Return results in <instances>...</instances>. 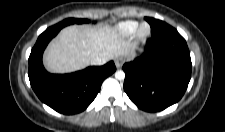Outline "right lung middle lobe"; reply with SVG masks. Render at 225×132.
I'll list each match as a JSON object with an SVG mask.
<instances>
[{
	"instance_id": "dd1d6c3e",
	"label": "right lung middle lobe",
	"mask_w": 225,
	"mask_h": 132,
	"mask_svg": "<svg viewBox=\"0 0 225 132\" xmlns=\"http://www.w3.org/2000/svg\"><path fill=\"white\" fill-rule=\"evenodd\" d=\"M87 22H89L87 19L68 18L52 27L61 29L70 24H74V23L81 24V23H87Z\"/></svg>"
}]
</instances>
